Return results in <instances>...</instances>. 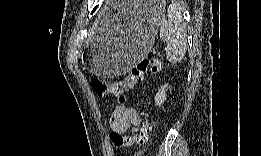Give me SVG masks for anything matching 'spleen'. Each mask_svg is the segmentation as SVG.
<instances>
[{"label":"spleen","instance_id":"spleen-1","mask_svg":"<svg viewBox=\"0 0 261 156\" xmlns=\"http://www.w3.org/2000/svg\"><path fill=\"white\" fill-rule=\"evenodd\" d=\"M160 20V38L167 42L166 58L176 64L182 60L187 50V33L181 11L171 4L167 16L162 15Z\"/></svg>","mask_w":261,"mask_h":156}]
</instances>
